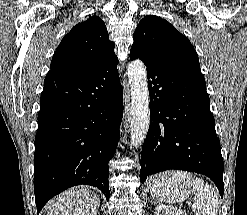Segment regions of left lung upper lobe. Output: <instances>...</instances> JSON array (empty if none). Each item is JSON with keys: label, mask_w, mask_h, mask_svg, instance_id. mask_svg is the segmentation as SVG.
I'll return each mask as SVG.
<instances>
[{"label": "left lung upper lobe", "mask_w": 247, "mask_h": 215, "mask_svg": "<svg viewBox=\"0 0 247 215\" xmlns=\"http://www.w3.org/2000/svg\"><path fill=\"white\" fill-rule=\"evenodd\" d=\"M133 39L130 53L163 67L204 77L192 44L166 20L154 15L145 16L139 22Z\"/></svg>", "instance_id": "left-lung-upper-lobe-1"}]
</instances>
